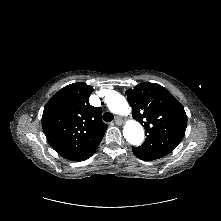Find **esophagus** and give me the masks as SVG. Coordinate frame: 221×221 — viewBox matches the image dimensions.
Returning a JSON list of instances; mask_svg holds the SVG:
<instances>
[{"label": "esophagus", "mask_w": 221, "mask_h": 221, "mask_svg": "<svg viewBox=\"0 0 221 221\" xmlns=\"http://www.w3.org/2000/svg\"><path fill=\"white\" fill-rule=\"evenodd\" d=\"M114 121H115V123H116L117 125H121L122 122H123L120 117H116Z\"/></svg>", "instance_id": "34e87169"}]
</instances>
